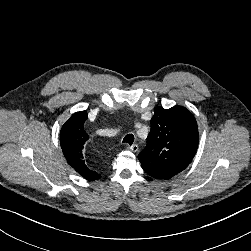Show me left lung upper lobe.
Returning a JSON list of instances; mask_svg holds the SVG:
<instances>
[{
  "label": "left lung upper lobe",
  "mask_w": 251,
  "mask_h": 251,
  "mask_svg": "<svg viewBox=\"0 0 251 251\" xmlns=\"http://www.w3.org/2000/svg\"><path fill=\"white\" fill-rule=\"evenodd\" d=\"M198 142L197 123L188 109L156 107L147 146L138 158L142 167L176 175L192 161Z\"/></svg>",
  "instance_id": "left-lung-upper-lobe-1"
}]
</instances>
